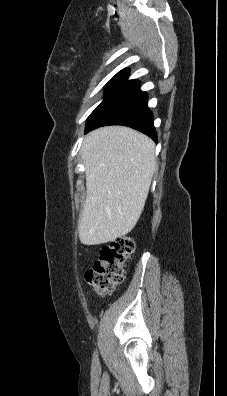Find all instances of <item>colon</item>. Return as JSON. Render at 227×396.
Listing matches in <instances>:
<instances>
[{
  "mask_svg": "<svg viewBox=\"0 0 227 396\" xmlns=\"http://www.w3.org/2000/svg\"><path fill=\"white\" fill-rule=\"evenodd\" d=\"M134 249V240L128 236L118 237L100 248L98 260L85 274L97 294H109L123 282L124 264Z\"/></svg>",
  "mask_w": 227,
  "mask_h": 396,
  "instance_id": "colon-1",
  "label": "colon"
}]
</instances>
